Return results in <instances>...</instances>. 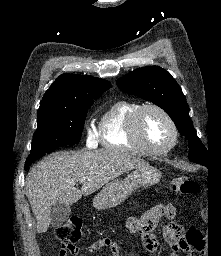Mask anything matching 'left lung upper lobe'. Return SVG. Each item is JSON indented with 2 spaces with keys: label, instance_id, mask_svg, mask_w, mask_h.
Instances as JSON below:
<instances>
[{
  "label": "left lung upper lobe",
  "instance_id": "1",
  "mask_svg": "<svg viewBox=\"0 0 221 256\" xmlns=\"http://www.w3.org/2000/svg\"><path fill=\"white\" fill-rule=\"evenodd\" d=\"M117 85L124 92L152 101L164 109L188 140L189 159L201 165L207 164L208 152L194 130L186 97L169 72L159 66H146L118 79Z\"/></svg>",
  "mask_w": 221,
  "mask_h": 256
}]
</instances>
